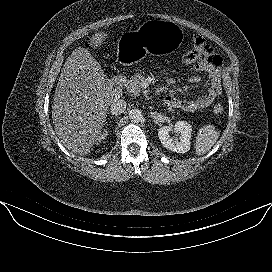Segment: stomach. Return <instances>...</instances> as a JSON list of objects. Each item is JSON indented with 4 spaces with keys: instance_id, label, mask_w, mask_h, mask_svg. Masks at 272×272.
I'll list each match as a JSON object with an SVG mask.
<instances>
[{
    "instance_id": "obj_1",
    "label": "stomach",
    "mask_w": 272,
    "mask_h": 272,
    "mask_svg": "<svg viewBox=\"0 0 272 272\" xmlns=\"http://www.w3.org/2000/svg\"><path fill=\"white\" fill-rule=\"evenodd\" d=\"M184 41L183 29L172 21L148 20L135 31L124 33L117 42L120 64L137 63L145 54H161L178 49Z\"/></svg>"
}]
</instances>
